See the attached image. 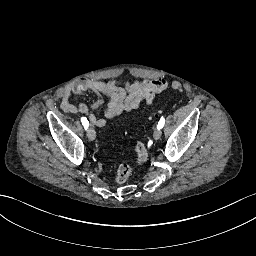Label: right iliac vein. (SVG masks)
Segmentation results:
<instances>
[{"label":"right iliac vein","instance_id":"1","mask_svg":"<svg viewBox=\"0 0 256 256\" xmlns=\"http://www.w3.org/2000/svg\"><path fill=\"white\" fill-rule=\"evenodd\" d=\"M87 136L90 140H94L96 138V133H95V130L93 127H90L88 130H87Z\"/></svg>","mask_w":256,"mask_h":256}]
</instances>
